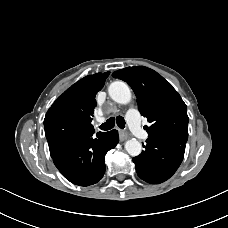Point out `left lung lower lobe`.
Instances as JSON below:
<instances>
[{"label":"left lung lower lobe","instance_id":"obj_1","mask_svg":"<svg viewBox=\"0 0 228 228\" xmlns=\"http://www.w3.org/2000/svg\"><path fill=\"white\" fill-rule=\"evenodd\" d=\"M142 153L133 158L138 176L151 184L169 179L180 166L185 144L167 136H148Z\"/></svg>","mask_w":228,"mask_h":228}]
</instances>
